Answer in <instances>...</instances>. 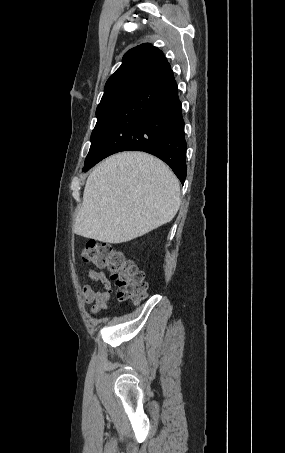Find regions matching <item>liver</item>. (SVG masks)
<instances>
[{
    "label": "liver",
    "mask_w": 285,
    "mask_h": 453,
    "mask_svg": "<svg viewBox=\"0 0 285 453\" xmlns=\"http://www.w3.org/2000/svg\"><path fill=\"white\" fill-rule=\"evenodd\" d=\"M179 207V181L166 164L147 153L122 152L89 175L73 231L100 242H128L170 222Z\"/></svg>",
    "instance_id": "1"
}]
</instances>
